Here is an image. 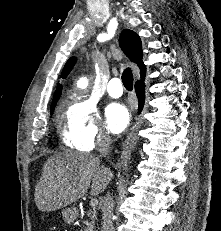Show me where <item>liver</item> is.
<instances>
[{
    "mask_svg": "<svg viewBox=\"0 0 221 231\" xmlns=\"http://www.w3.org/2000/svg\"><path fill=\"white\" fill-rule=\"evenodd\" d=\"M111 179L98 156L74 151L52 156L44 166L35 188V203L42 212L66 207L91 189L92 195L103 192Z\"/></svg>",
    "mask_w": 221,
    "mask_h": 231,
    "instance_id": "obj_1",
    "label": "liver"
}]
</instances>
